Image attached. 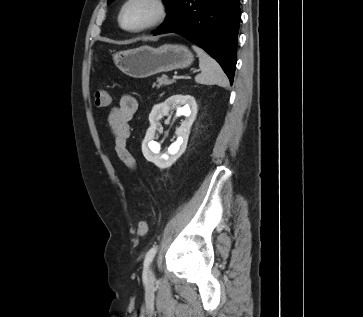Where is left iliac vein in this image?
<instances>
[{"mask_svg": "<svg viewBox=\"0 0 363 317\" xmlns=\"http://www.w3.org/2000/svg\"><path fill=\"white\" fill-rule=\"evenodd\" d=\"M153 279H154V274H153V271L150 270L149 273H148V280L152 281Z\"/></svg>", "mask_w": 363, "mask_h": 317, "instance_id": "left-iliac-vein-1", "label": "left iliac vein"}]
</instances>
